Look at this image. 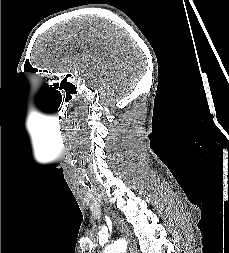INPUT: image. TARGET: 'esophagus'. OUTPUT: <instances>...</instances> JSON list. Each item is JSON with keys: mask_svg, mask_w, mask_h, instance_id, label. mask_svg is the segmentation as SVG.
<instances>
[{"mask_svg": "<svg viewBox=\"0 0 229 253\" xmlns=\"http://www.w3.org/2000/svg\"><path fill=\"white\" fill-rule=\"evenodd\" d=\"M111 215L112 218L114 219V223L117 225V228L119 229L121 234L124 235V237L128 242L129 253H137L135 241L127 225L121 218L117 217L114 213H111Z\"/></svg>", "mask_w": 229, "mask_h": 253, "instance_id": "1", "label": "esophagus"}]
</instances>
